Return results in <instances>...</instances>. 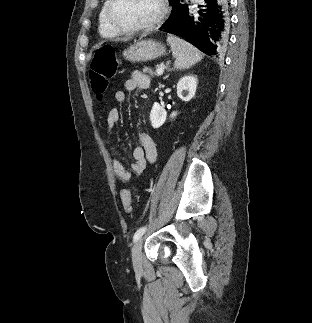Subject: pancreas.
Instances as JSON below:
<instances>
[{
  "mask_svg": "<svg viewBox=\"0 0 312 323\" xmlns=\"http://www.w3.org/2000/svg\"><path fill=\"white\" fill-rule=\"evenodd\" d=\"M143 74H149V76H154L155 72H152L150 68H143Z\"/></svg>",
  "mask_w": 312,
  "mask_h": 323,
  "instance_id": "1",
  "label": "pancreas"
}]
</instances>
